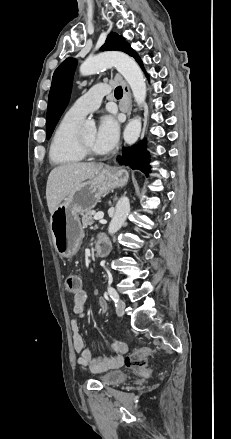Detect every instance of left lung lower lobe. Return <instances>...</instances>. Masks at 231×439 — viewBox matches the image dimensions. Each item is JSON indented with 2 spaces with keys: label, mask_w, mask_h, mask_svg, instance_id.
Segmentation results:
<instances>
[{
  "label": "left lung lower lobe",
  "mask_w": 231,
  "mask_h": 439,
  "mask_svg": "<svg viewBox=\"0 0 231 439\" xmlns=\"http://www.w3.org/2000/svg\"><path fill=\"white\" fill-rule=\"evenodd\" d=\"M143 68V63L137 55L134 58ZM120 165H127L132 169H138L145 174L150 172L149 152L146 150V141H141L132 147L123 148L122 156L118 157Z\"/></svg>",
  "instance_id": "1"
}]
</instances>
